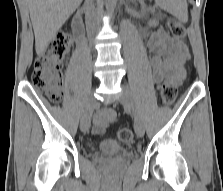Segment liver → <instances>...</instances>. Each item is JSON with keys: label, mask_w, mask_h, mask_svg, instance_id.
Returning <instances> with one entry per match:
<instances>
[{"label": "liver", "mask_w": 223, "mask_h": 191, "mask_svg": "<svg viewBox=\"0 0 223 191\" xmlns=\"http://www.w3.org/2000/svg\"><path fill=\"white\" fill-rule=\"evenodd\" d=\"M82 0H28L35 35V49L42 55Z\"/></svg>", "instance_id": "6515ba94"}]
</instances>
